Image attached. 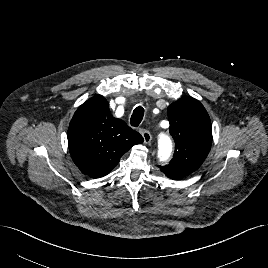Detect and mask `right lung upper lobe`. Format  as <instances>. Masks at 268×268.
Wrapping results in <instances>:
<instances>
[{
	"instance_id": "cb5924a9",
	"label": "right lung upper lobe",
	"mask_w": 268,
	"mask_h": 268,
	"mask_svg": "<svg viewBox=\"0 0 268 268\" xmlns=\"http://www.w3.org/2000/svg\"><path fill=\"white\" fill-rule=\"evenodd\" d=\"M68 146L75 165L91 178L107 175L143 137L114 118L107 100L96 95L75 112L68 129Z\"/></svg>"
}]
</instances>
